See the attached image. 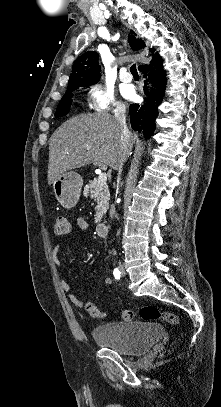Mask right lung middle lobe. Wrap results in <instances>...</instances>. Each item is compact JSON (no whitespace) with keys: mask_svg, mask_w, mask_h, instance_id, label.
Returning <instances> with one entry per match:
<instances>
[{"mask_svg":"<svg viewBox=\"0 0 221 407\" xmlns=\"http://www.w3.org/2000/svg\"><path fill=\"white\" fill-rule=\"evenodd\" d=\"M74 90H76V89L66 91L65 95L62 97L61 101L59 102L55 117H62V116H65L68 114L71 103H72Z\"/></svg>","mask_w":221,"mask_h":407,"instance_id":"1","label":"right lung middle lobe"}]
</instances>
